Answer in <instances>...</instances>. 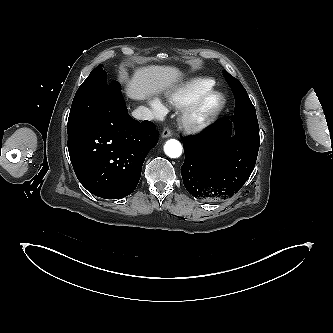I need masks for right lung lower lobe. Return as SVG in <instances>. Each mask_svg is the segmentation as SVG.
Returning <instances> with one entry per match:
<instances>
[{"mask_svg": "<svg viewBox=\"0 0 333 333\" xmlns=\"http://www.w3.org/2000/svg\"><path fill=\"white\" fill-rule=\"evenodd\" d=\"M100 101L95 112L68 131V150L80 183L92 194L119 199L131 194L140 179L158 132L150 121L139 123L128 114L120 85Z\"/></svg>", "mask_w": 333, "mask_h": 333, "instance_id": "1", "label": "right lung lower lobe"}]
</instances>
